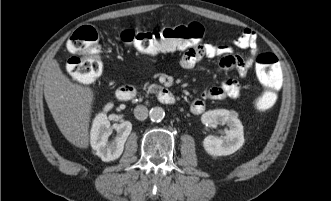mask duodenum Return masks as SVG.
Returning a JSON list of instances; mask_svg holds the SVG:
<instances>
[{"label":"duodenum","mask_w":331,"mask_h":201,"mask_svg":"<svg viewBox=\"0 0 331 201\" xmlns=\"http://www.w3.org/2000/svg\"><path fill=\"white\" fill-rule=\"evenodd\" d=\"M137 94V89L132 84H124L117 88L116 97L121 101H126L134 98ZM158 100L167 105L175 103L174 94L166 87H160L157 93Z\"/></svg>","instance_id":"1"}]
</instances>
